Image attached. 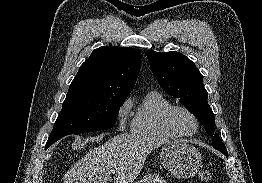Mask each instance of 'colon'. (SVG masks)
<instances>
[{"label":"colon","instance_id":"1","mask_svg":"<svg viewBox=\"0 0 262 183\" xmlns=\"http://www.w3.org/2000/svg\"><path fill=\"white\" fill-rule=\"evenodd\" d=\"M198 178L202 182H208L211 179V172L209 170H201L198 174Z\"/></svg>","mask_w":262,"mask_h":183}]
</instances>
